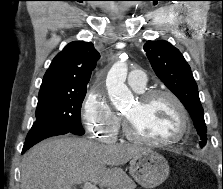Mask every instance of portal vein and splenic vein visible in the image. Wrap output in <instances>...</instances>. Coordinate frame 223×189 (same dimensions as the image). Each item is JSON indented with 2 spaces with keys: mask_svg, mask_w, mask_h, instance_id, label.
Masks as SVG:
<instances>
[{
  "mask_svg": "<svg viewBox=\"0 0 223 189\" xmlns=\"http://www.w3.org/2000/svg\"><path fill=\"white\" fill-rule=\"evenodd\" d=\"M82 189H98V187L95 184H92L91 182H85L82 186Z\"/></svg>",
  "mask_w": 223,
  "mask_h": 189,
  "instance_id": "obj_1",
  "label": "portal vein and splenic vein"
}]
</instances>
